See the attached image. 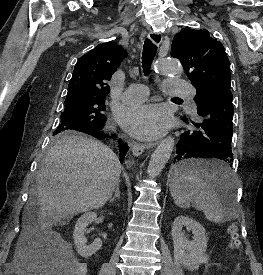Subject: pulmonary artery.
Masks as SVG:
<instances>
[{"label": "pulmonary artery", "instance_id": "obj_1", "mask_svg": "<svg viewBox=\"0 0 263 275\" xmlns=\"http://www.w3.org/2000/svg\"><path fill=\"white\" fill-rule=\"evenodd\" d=\"M165 92L171 96H182L188 99L193 110H196V90L187 82L169 78L164 82ZM148 88L143 84H131L122 95V101L126 104L141 103L148 97Z\"/></svg>", "mask_w": 263, "mask_h": 275}]
</instances>
